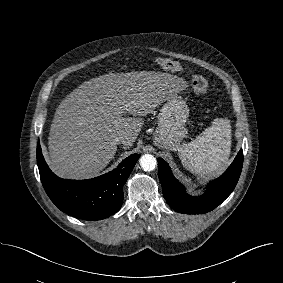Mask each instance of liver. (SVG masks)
<instances>
[{"label":"liver","mask_w":283,"mask_h":283,"mask_svg":"<svg viewBox=\"0 0 283 283\" xmlns=\"http://www.w3.org/2000/svg\"><path fill=\"white\" fill-rule=\"evenodd\" d=\"M186 87L182 78L153 71L108 73L85 81L55 112L48 141L51 170L69 179L98 174L115 156L116 137L124 136V148H130L144 124L141 117Z\"/></svg>","instance_id":"1"}]
</instances>
